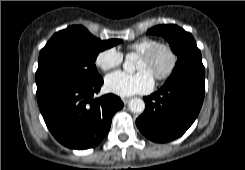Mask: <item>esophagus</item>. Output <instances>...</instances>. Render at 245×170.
Segmentation results:
<instances>
[{
    "label": "esophagus",
    "instance_id": "esophagus-1",
    "mask_svg": "<svg viewBox=\"0 0 245 170\" xmlns=\"http://www.w3.org/2000/svg\"><path fill=\"white\" fill-rule=\"evenodd\" d=\"M129 100H130L129 98H122L124 104H127Z\"/></svg>",
    "mask_w": 245,
    "mask_h": 170
}]
</instances>
